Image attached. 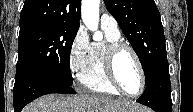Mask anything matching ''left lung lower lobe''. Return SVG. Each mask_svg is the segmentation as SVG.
<instances>
[{
    "label": "left lung lower lobe",
    "mask_w": 193,
    "mask_h": 112,
    "mask_svg": "<svg viewBox=\"0 0 193 112\" xmlns=\"http://www.w3.org/2000/svg\"><path fill=\"white\" fill-rule=\"evenodd\" d=\"M167 59L155 70L137 102L152 108L155 112H171V84Z\"/></svg>",
    "instance_id": "obj_1"
}]
</instances>
